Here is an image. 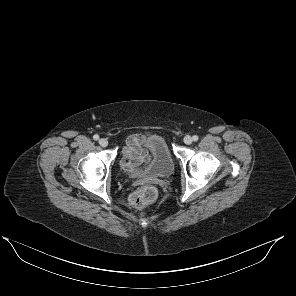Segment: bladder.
<instances>
[{
    "mask_svg": "<svg viewBox=\"0 0 296 296\" xmlns=\"http://www.w3.org/2000/svg\"><path fill=\"white\" fill-rule=\"evenodd\" d=\"M150 160L142 169L127 170L130 176L166 178L174 172V160L165 139L160 135H150L145 139Z\"/></svg>",
    "mask_w": 296,
    "mask_h": 296,
    "instance_id": "bladder-1",
    "label": "bladder"
}]
</instances>
